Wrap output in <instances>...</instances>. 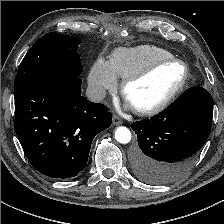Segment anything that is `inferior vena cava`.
Masks as SVG:
<instances>
[{
	"label": "inferior vena cava",
	"mask_w": 224,
	"mask_h": 224,
	"mask_svg": "<svg viewBox=\"0 0 224 224\" xmlns=\"http://www.w3.org/2000/svg\"><path fill=\"white\" fill-rule=\"evenodd\" d=\"M106 91L101 86H89L86 89V96L92 102H100L104 99Z\"/></svg>",
	"instance_id": "602c4592"
}]
</instances>
